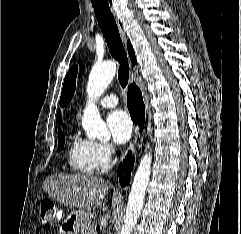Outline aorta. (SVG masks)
I'll return each instance as SVG.
<instances>
[{
	"instance_id": "obj_1",
	"label": "aorta",
	"mask_w": 241,
	"mask_h": 234,
	"mask_svg": "<svg viewBox=\"0 0 241 234\" xmlns=\"http://www.w3.org/2000/svg\"><path fill=\"white\" fill-rule=\"evenodd\" d=\"M115 73L116 63L114 61H106L101 64H96L90 72L87 83L89 104L84 110L82 117L83 129L85 130L87 137L90 139L110 138V133L106 124L102 120L99 111L92 103L104 93L115 76ZM147 147L149 148V145H147ZM151 163L152 155L150 152L146 151L140 160L131 185L127 209L124 216V224L122 225L119 234H131L133 227L139 219L149 183Z\"/></svg>"
}]
</instances>
